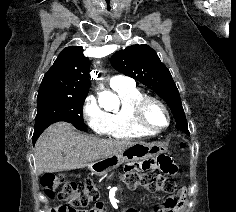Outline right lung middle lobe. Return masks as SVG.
Masks as SVG:
<instances>
[{"instance_id": "right-lung-middle-lobe-1", "label": "right lung middle lobe", "mask_w": 236, "mask_h": 212, "mask_svg": "<svg viewBox=\"0 0 236 212\" xmlns=\"http://www.w3.org/2000/svg\"><path fill=\"white\" fill-rule=\"evenodd\" d=\"M87 95L49 96L37 98V115L35 120L33 144L40 134L51 124L58 121L72 123L79 130H86L82 110Z\"/></svg>"}]
</instances>
